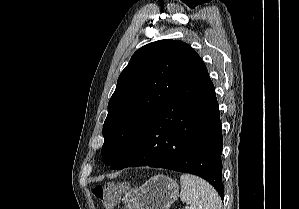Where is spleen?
I'll use <instances>...</instances> for the list:
<instances>
[{
  "instance_id": "1",
  "label": "spleen",
  "mask_w": 299,
  "mask_h": 209,
  "mask_svg": "<svg viewBox=\"0 0 299 209\" xmlns=\"http://www.w3.org/2000/svg\"><path fill=\"white\" fill-rule=\"evenodd\" d=\"M180 182V198L190 205V209H221V200L217 191L202 178L182 174Z\"/></svg>"
}]
</instances>
